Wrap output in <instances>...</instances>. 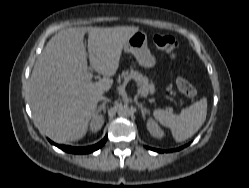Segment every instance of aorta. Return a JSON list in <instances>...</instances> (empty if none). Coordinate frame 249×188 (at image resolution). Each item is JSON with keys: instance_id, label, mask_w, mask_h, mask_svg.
<instances>
[{"instance_id": "762f6f07", "label": "aorta", "mask_w": 249, "mask_h": 188, "mask_svg": "<svg viewBox=\"0 0 249 188\" xmlns=\"http://www.w3.org/2000/svg\"><path fill=\"white\" fill-rule=\"evenodd\" d=\"M118 115L123 118H127L130 116L131 111L130 108L127 105H122L118 108Z\"/></svg>"}]
</instances>
